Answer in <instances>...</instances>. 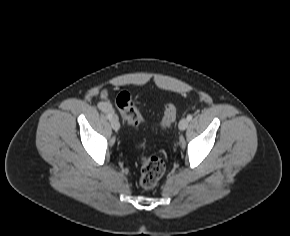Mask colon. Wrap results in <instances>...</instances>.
Here are the masks:
<instances>
[{
    "label": "colon",
    "instance_id": "obj_1",
    "mask_svg": "<svg viewBox=\"0 0 290 236\" xmlns=\"http://www.w3.org/2000/svg\"><path fill=\"white\" fill-rule=\"evenodd\" d=\"M116 106L123 118L132 126H142L145 119L140 110L133 105L129 92L122 91L116 97ZM177 110L174 104L168 103L163 111V115L156 127L161 129L169 128L176 120ZM145 144H140L144 147ZM165 171L164 161L158 156H146L142 158V168L140 184L144 189L154 188L162 178Z\"/></svg>",
    "mask_w": 290,
    "mask_h": 236
}]
</instances>
